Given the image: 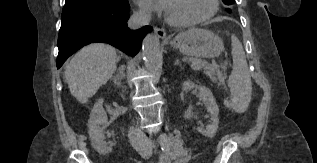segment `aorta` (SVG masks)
Instances as JSON below:
<instances>
[{
	"label": "aorta",
	"mask_w": 317,
	"mask_h": 163,
	"mask_svg": "<svg viewBox=\"0 0 317 163\" xmlns=\"http://www.w3.org/2000/svg\"><path fill=\"white\" fill-rule=\"evenodd\" d=\"M142 55L147 69L158 72L161 62L160 42L157 35L147 34L142 44Z\"/></svg>",
	"instance_id": "obj_1"
}]
</instances>
